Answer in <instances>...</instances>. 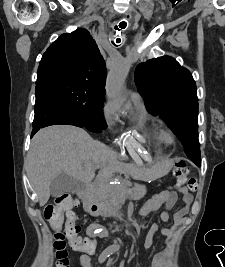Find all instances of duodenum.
Masks as SVG:
<instances>
[{"mask_svg":"<svg viewBox=\"0 0 225 267\" xmlns=\"http://www.w3.org/2000/svg\"><path fill=\"white\" fill-rule=\"evenodd\" d=\"M84 209L89 214L95 213L97 207L96 203L91 200V196H86V199L84 201Z\"/></svg>","mask_w":225,"mask_h":267,"instance_id":"duodenum-1","label":"duodenum"}]
</instances>
